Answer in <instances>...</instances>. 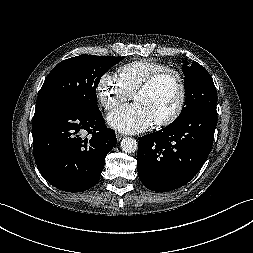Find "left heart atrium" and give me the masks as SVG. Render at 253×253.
<instances>
[{
  "label": "left heart atrium",
  "mask_w": 253,
  "mask_h": 253,
  "mask_svg": "<svg viewBox=\"0 0 253 253\" xmlns=\"http://www.w3.org/2000/svg\"><path fill=\"white\" fill-rule=\"evenodd\" d=\"M108 123L125 133H139L149 128L155 121L149 108L140 103L125 105L110 114Z\"/></svg>",
  "instance_id": "39dd6f15"
}]
</instances>
